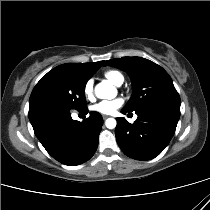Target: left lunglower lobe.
Instances as JSON below:
<instances>
[{
  "instance_id": "obj_1",
  "label": "left lung lower lobe",
  "mask_w": 210,
  "mask_h": 210,
  "mask_svg": "<svg viewBox=\"0 0 210 210\" xmlns=\"http://www.w3.org/2000/svg\"><path fill=\"white\" fill-rule=\"evenodd\" d=\"M123 114L128 113L122 109ZM135 123L117 118L115 135L122 152L136 160L158 156L173 137L180 117L176 106L153 105L135 111Z\"/></svg>"
}]
</instances>
